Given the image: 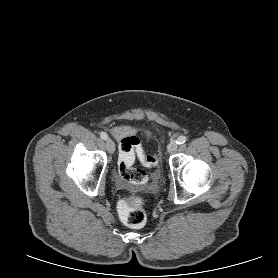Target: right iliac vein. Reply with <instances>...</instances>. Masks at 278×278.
<instances>
[{
  "instance_id": "right-iliac-vein-1",
  "label": "right iliac vein",
  "mask_w": 278,
  "mask_h": 278,
  "mask_svg": "<svg viewBox=\"0 0 278 278\" xmlns=\"http://www.w3.org/2000/svg\"><path fill=\"white\" fill-rule=\"evenodd\" d=\"M106 147L109 153H113L115 150V144L110 138L106 140Z\"/></svg>"
}]
</instances>
